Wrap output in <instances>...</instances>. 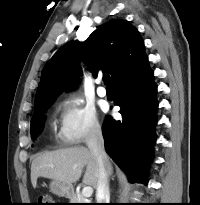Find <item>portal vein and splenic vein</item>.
Segmentation results:
<instances>
[{"label": "portal vein and splenic vein", "mask_w": 200, "mask_h": 205, "mask_svg": "<svg viewBox=\"0 0 200 205\" xmlns=\"http://www.w3.org/2000/svg\"><path fill=\"white\" fill-rule=\"evenodd\" d=\"M93 194V188L91 186H86L82 189V196L89 198Z\"/></svg>", "instance_id": "18ae733b"}]
</instances>
